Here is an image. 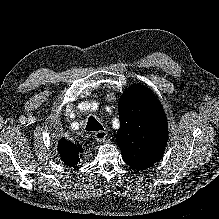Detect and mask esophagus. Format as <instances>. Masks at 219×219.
<instances>
[{
  "label": "esophagus",
  "mask_w": 219,
  "mask_h": 219,
  "mask_svg": "<svg viewBox=\"0 0 219 219\" xmlns=\"http://www.w3.org/2000/svg\"><path fill=\"white\" fill-rule=\"evenodd\" d=\"M108 133L106 131H97L94 135L97 141H104L107 137Z\"/></svg>",
  "instance_id": "34e87169"
}]
</instances>
